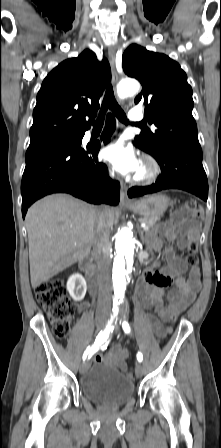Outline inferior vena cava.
<instances>
[{
  "label": "inferior vena cava",
  "instance_id": "obj_1",
  "mask_svg": "<svg viewBox=\"0 0 221 448\" xmlns=\"http://www.w3.org/2000/svg\"><path fill=\"white\" fill-rule=\"evenodd\" d=\"M105 207L97 208V223L93 242V253L99 271V297L97 313L108 315L111 307V243L109 228L105 222Z\"/></svg>",
  "mask_w": 221,
  "mask_h": 448
}]
</instances>
